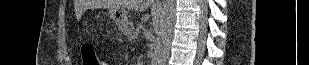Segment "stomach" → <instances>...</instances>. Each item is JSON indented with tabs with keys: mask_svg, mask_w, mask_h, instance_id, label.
<instances>
[{
	"mask_svg": "<svg viewBox=\"0 0 309 65\" xmlns=\"http://www.w3.org/2000/svg\"><path fill=\"white\" fill-rule=\"evenodd\" d=\"M110 18L119 26L128 24L127 12L123 8H110L108 9Z\"/></svg>",
	"mask_w": 309,
	"mask_h": 65,
	"instance_id": "obj_1",
	"label": "stomach"
}]
</instances>
